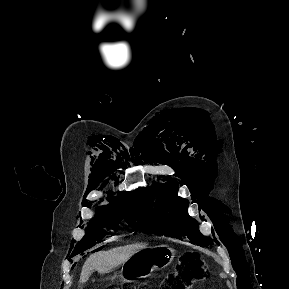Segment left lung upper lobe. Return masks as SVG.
<instances>
[{
	"label": "left lung upper lobe",
	"mask_w": 289,
	"mask_h": 289,
	"mask_svg": "<svg viewBox=\"0 0 289 289\" xmlns=\"http://www.w3.org/2000/svg\"><path fill=\"white\" fill-rule=\"evenodd\" d=\"M177 191L178 184L170 180L137 192L143 231L209 246L212 240L200 233L197 221L188 215L189 201L178 197Z\"/></svg>",
	"instance_id": "obj_1"
}]
</instances>
